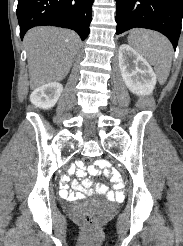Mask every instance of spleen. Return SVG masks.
Wrapping results in <instances>:
<instances>
[{
    "label": "spleen",
    "mask_w": 183,
    "mask_h": 246,
    "mask_svg": "<svg viewBox=\"0 0 183 246\" xmlns=\"http://www.w3.org/2000/svg\"><path fill=\"white\" fill-rule=\"evenodd\" d=\"M128 42L147 57L154 66L159 83L163 85L169 76L173 58L170 41L158 32L135 29L129 34Z\"/></svg>",
    "instance_id": "obj_1"
}]
</instances>
